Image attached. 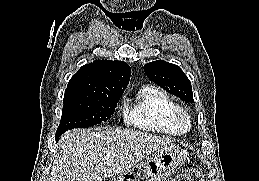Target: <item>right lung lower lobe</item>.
<instances>
[{
  "label": "right lung lower lobe",
  "instance_id": "right-lung-lower-lobe-1",
  "mask_svg": "<svg viewBox=\"0 0 259 181\" xmlns=\"http://www.w3.org/2000/svg\"><path fill=\"white\" fill-rule=\"evenodd\" d=\"M59 137H60V136H55L56 142L58 141Z\"/></svg>",
  "mask_w": 259,
  "mask_h": 181
}]
</instances>
